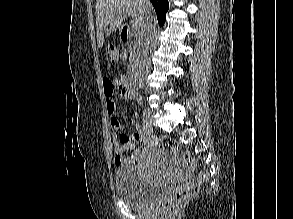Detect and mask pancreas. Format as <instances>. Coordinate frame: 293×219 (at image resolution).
<instances>
[{
  "instance_id": "obj_1",
  "label": "pancreas",
  "mask_w": 293,
  "mask_h": 219,
  "mask_svg": "<svg viewBox=\"0 0 293 219\" xmlns=\"http://www.w3.org/2000/svg\"><path fill=\"white\" fill-rule=\"evenodd\" d=\"M136 49H137V45H133V46H130V63L129 65H132V62L136 56Z\"/></svg>"
}]
</instances>
